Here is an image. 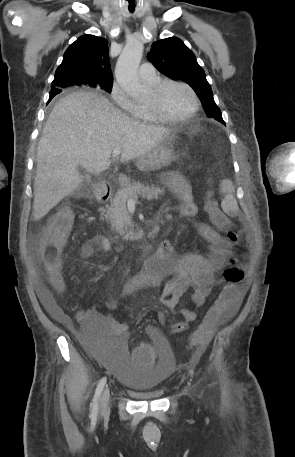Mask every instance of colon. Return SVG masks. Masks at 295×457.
<instances>
[{
    "label": "colon",
    "mask_w": 295,
    "mask_h": 457,
    "mask_svg": "<svg viewBox=\"0 0 295 457\" xmlns=\"http://www.w3.org/2000/svg\"><path fill=\"white\" fill-rule=\"evenodd\" d=\"M205 210L213 224L227 232L228 239L236 242L239 231L230 219L221 211L217 202L207 198ZM72 213L69 209L58 211L48 223L38 243V254L44 269L49 274L56 290L63 292L64 281L61 276L62 250L72 224ZM223 287L218 299L206 313L200 325L190 337V345L196 348L204 347L210 340L217 324L236 307L241 296L240 285L244 280V270L236 259H230L229 266L223 271ZM132 353L137 366H152L157 352L152 346H133Z\"/></svg>",
    "instance_id": "obj_1"
}]
</instances>
